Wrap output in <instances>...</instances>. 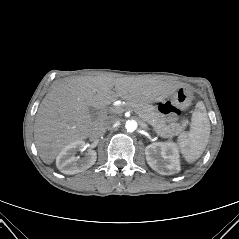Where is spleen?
<instances>
[{
  "mask_svg": "<svg viewBox=\"0 0 239 239\" xmlns=\"http://www.w3.org/2000/svg\"><path fill=\"white\" fill-rule=\"evenodd\" d=\"M210 122L202 101L197 102L190 123V130L178 136L177 144L184 159L193 163L203 154L210 137Z\"/></svg>",
  "mask_w": 239,
  "mask_h": 239,
  "instance_id": "1",
  "label": "spleen"
}]
</instances>
